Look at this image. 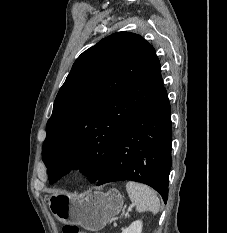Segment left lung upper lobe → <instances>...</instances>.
Masks as SVG:
<instances>
[{
    "instance_id": "left-lung-upper-lobe-1",
    "label": "left lung upper lobe",
    "mask_w": 227,
    "mask_h": 233,
    "mask_svg": "<svg viewBox=\"0 0 227 233\" xmlns=\"http://www.w3.org/2000/svg\"><path fill=\"white\" fill-rule=\"evenodd\" d=\"M162 89L160 62L140 35L117 32L83 52L46 125L42 158L50 183L72 168L97 182L123 130Z\"/></svg>"
}]
</instances>
